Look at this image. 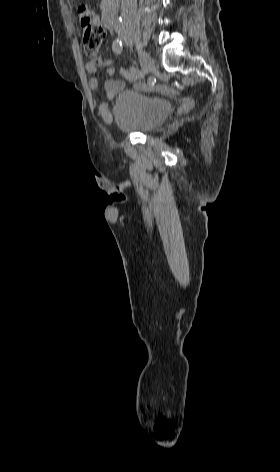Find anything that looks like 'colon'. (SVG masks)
I'll return each instance as SVG.
<instances>
[{"instance_id": "5ec220e1", "label": "colon", "mask_w": 280, "mask_h": 472, "mask_svg": "<svg viewBox=\"0 0 280 472\" xmlns=\"http://www.w3.org/2000/svg\"><path fill=\"white\" fill-rule=\"evenodd\" d=\"M77 12L83 32V49L87 55L93 56L98 52L106 30L95 12L87 5H80Z\"/></svg>"}]
</instances>
